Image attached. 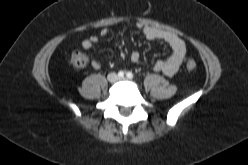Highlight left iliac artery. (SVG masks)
Masks as SVG:
<instances>
[{
    "label": "left iliac artery",
    "instance_id": "left-iliac-artery-1",
    "mask_svg": "<svg viewBox=\"0 0 248 165\" xmlns=\"http://www.w3.org/2000/svg\"><path fill=\"white\" fill-rule=\"evenodd\" d=\"M126 76L129 78V79H132L134 77L133 73L132 72H127L126 73Z\"/></svg>",
    "mask_w": 248,
    "mask_h": 165
}]
</instances>
